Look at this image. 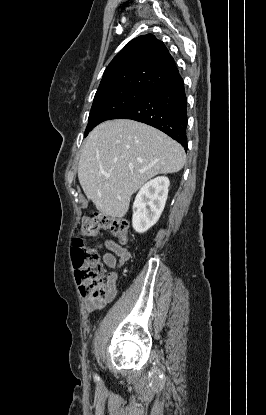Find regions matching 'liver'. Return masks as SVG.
Here are the masks:
<instances>
[{"mask_svg":"<svg viewBox=\"0 0 266 415\" xmlns=\"http://www.w3.org/2000/svg\"><path fill=\"white\" fill-rule=\"evenodd\" d=\"M185 161L183 147L165 133L137 121L115 119L101 123L88 135L78 179L97 210L122 218L132 194L146 181L180 171Z\"/></svg>","mask_w":266,"mask_h":415,"instance_id":"1","label":"liver"}]
</instances>
